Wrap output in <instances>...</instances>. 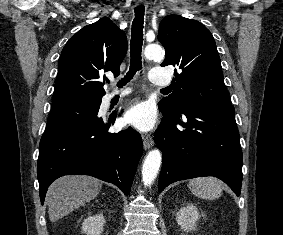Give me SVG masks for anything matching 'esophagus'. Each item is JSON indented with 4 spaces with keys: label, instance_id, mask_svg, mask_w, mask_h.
I'll list each match as a JSON object with an SVG mask.
<instances>
[{
    "label": "esophagus",
    "instance_id": "34e87169",
    "mask_svg": "<svg viewBox=\"0 0 283 235\" xmlns=\"http://www.w3.org/2000/svg\"><path fill=\"white\" fill-rule=\"evenodd\" d=\"M141 3H142L141 0H138L136 2L137 5H140ZM142 139H143V146H144L145 150H148L153 146L154 140H153V137L150 134H144L142 136Z\"/></svg>",
    "mask_w": 283,
    "mask_h": 235
}]
</instances>
